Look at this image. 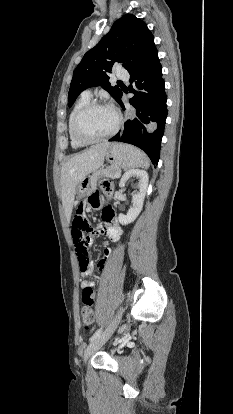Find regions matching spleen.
Instances as JSON below:
<instances>
[{
	"label": "spleen",
	"instance_id": "obj_1",
	"mask_svg": "<svg viewBox=\"0 0 233 414\" xmlns=\"http://www.w3.org/2000/svg\"><path fill=\"white\" fill-rule=\"evenodd\" d=\"M150 166L149 159L145 156L144 161L138 166L147 169Z\"/></svg>",
	"mask_w": 233,
	"mask_h": 414
}]
</instances>
